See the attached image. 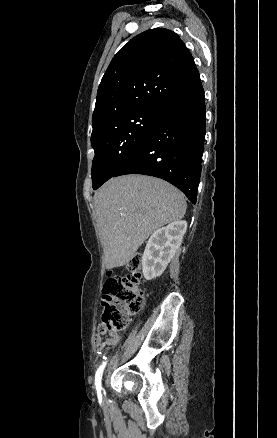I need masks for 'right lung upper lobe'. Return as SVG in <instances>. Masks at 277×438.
<instances>
[{"instance_id": "right-lung-upper-lobe-1", "label": "right lung upper lobe", "mask_w": 277, "mask_h": 438, "mask_svg": "<svg viewBox=\"0 0 277 438\" xmlns=\"http://www.w3.org/2000/svg\"><path fill=\"white\" fill-rule=\"evenodd\" d=\"M165 64L170 70H161ZM200 81L190 51L173 31L156 28L131 39L114 56L97 92L92 123L111 116L161 109Z\"/></svg>"}]
</instances>
